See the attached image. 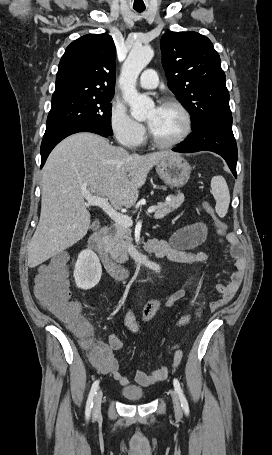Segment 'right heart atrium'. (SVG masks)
<instances>
[{
    "instance_id": "right-heart-atrium-1",
    "label": "right heart atrium",
    "mask_w": 272,
    "mask_h": 455,
    "mask_svg": "<svg viewBox=\"0 0 272 455\" xmlns=\"http://www.w3.org/2000/svg\"><path fill=\"white\" fill-rule=\"evenodd\" d=\"M109 124L114 137L124 147L136 148L145 139L144 126L133 119L119 101H113L111 104Z\"/></svg>"
}]
</instances>
